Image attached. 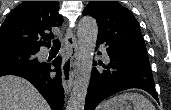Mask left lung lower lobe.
Wrapping results in <instances>:
<instances>
[{"instance_id": "obj_1", "label": "left lung lower lobe", "mask_w": 171, "mask_h": 110, "mask_svg": "<svg viewBox=\"0 0 171 110\" xmlns=\"http://www.w3.org/2000/svg\"><path fill=\"white\" fill-rule=\"evenodd\" d=\"M101 43L103 41L97 39V45ZM106 45L110 63L104 65L99 62L104 70L93 68L84 110H94L105 98L129 88L143 89L158 101L149 59L136 57Z\"/></svg>"}]
</instances>
